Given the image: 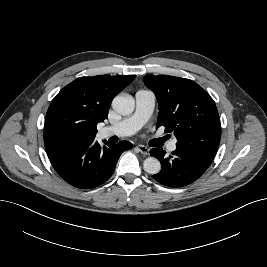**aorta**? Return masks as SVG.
Here are the masks:
<instances>
[{"instance_id":"762f6f07","label":"aorta","mask_w":267,"mask_h":267,"mask_svg":"<svg viewBox=\"0 0 267 267\" xmlns=\"http://www.w3.org/2000/svg\"><path fill=\"white\" fill-rule=\"evenodd\" d=\"M112 107L118 114L126 116L134 111L135 102L132 96H116L112 101ZM144 171L148 174H158L161 170V164L158 159L148 157L143 163Z\"/></svg>"}]
</instances>
